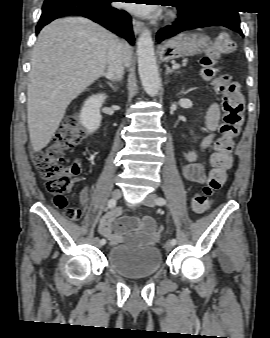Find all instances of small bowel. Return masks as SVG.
I'll return each mask as SVG.
<instances>
[{"label": "small bowel", "instance_id": "obj_1", "mask_svg": "<svg viewBox=\"0 0 270 338\" xmlns=\"http://www.w3.org/2000/svg\"><path fill=\"white\" fill-rule=\"evenodd\" d=\"M220 117V107L217 103H212L206 114V127L209 130H214L217 127ZM213 136L207 137L203 143V147H208L211 144ZM185 165L183 166V175L189 181L203 182L204 169L201 164L197 162V155L194 152H187L184 154ZM74 167L79 170L80 164L75 162ZM89 188H84L80 193V205L87 207L89 204ZM119 216L118 210H112L105 213L100 221L98 230L99 233L106 237L114 244L122 242H136L152 245L155 244L159 238L160 233L157 231L156 224L150 216H145L142 219L131 216H122V220H129L139 224L138 228L129 229L125 227L123 221H116Z\"/></svg>", "mask_w": 270, "mask_h": 338}]
</instances>
